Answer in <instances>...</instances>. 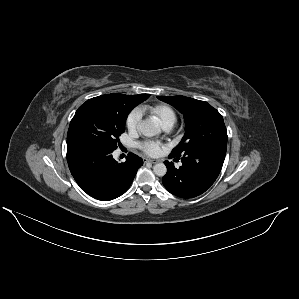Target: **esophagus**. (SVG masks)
<instances>
[{
    "mask_svg": "<svg viewBox=\"0 0 299 299\" xmlns=\"http://www.w3.org/2000/svg\"><path fill=\"white\" fill-rule=\"evenodd\" d=\"M144 163L156 164L158 160L144 159Z\"/></svg>",
    "mask_w": 299,
    "mask_h": 299,
    "instance_id": "obj_1",
    "label": "esophagus"
}]
</instances>
